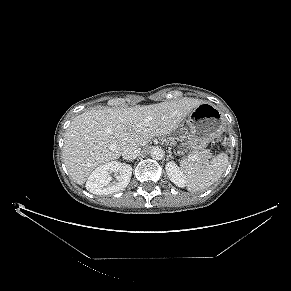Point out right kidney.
Returning a JSON list of instances; mask_svg holds the SVG:
<instances>
[{
	"label": "right kidney",
	"mask_w": 291,
	"mask_h": 291,
	"mask_svg": "<svg viewBox=\"0 0 291 291\" xmlns=\"http://www.w3.org/2000/svg\"><path fill=\"white\" fill-rule=\"evenodd\" d=\"M111 173L116 176L112 181ZM132 168L130 165L111 161L97 167L88 177L86 189L97 195H107L123 190L130 182Z\"/></svg>",
	"instance_id": "right-kidney-1"
}]
</instances>
